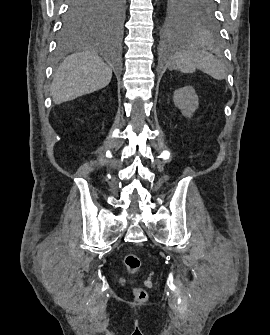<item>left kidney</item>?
<instances>
[{
    "instance_id": "obj_1",
    "label": "left kidney",
    "mask_w": 270,
    "mask_h": 335,
    "mask_svg": "<svg viewBox=\"0 0 270 335\" xmlns=\"http://www.w3.org/2000/svg\"><path fill=\"white\" fill-rule=\"evenodd\" d=\"M198 100L199 98L192 86H185V88H179L174 92L173 102L176 108H179L183 116H187V118H191L197 110Z\"/></svg>"
}]
</instances>
